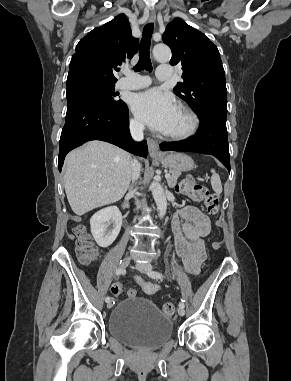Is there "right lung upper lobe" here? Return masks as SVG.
<instances>
[{"mask_svg":"<svg viewBox=\"0 0 291 381\" xmlns=\"http://www.w3.org/2000/svg\"><path fill=\"white\" fill-rule=\"evenodd\" d=\"M139 40L132 36L124 14L93 29L76 46L67 79L83 77L102 83H115V71L138 51Z\"/></svg>","mask_w":291,"mask_h":381,"instance_id":"1","label":"right lung upper lobe"}]
</instances>
